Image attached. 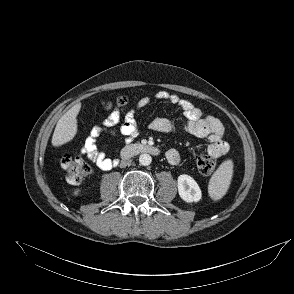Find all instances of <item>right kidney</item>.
<instances>
[{
	"mask_svg": "<svg viewBox=\"0 0 294 294\" xmlns=\"http://www.w3.org/2000/svg\"><path fill=\"white\" fill-rule=\"evenodd\" d=\"M79 193H80V189H76V190H74V196H78L79 195Z\"/></svg>",
	"mask_w": 294,
	"mask_h": 294,
	"instance_id": "right-kidney-1",
	"label": "right kidney"
}]
</instances>
